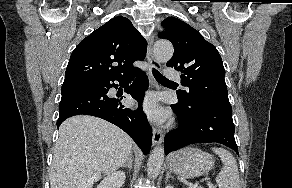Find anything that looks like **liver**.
I'll return each instance as SVG.
<instances>
[{"instance_id":"1","label":"liver","mask_w":292,"mask_h":188,"mask_svg":"<svg viewBox=\"0 0 292 188\" xmlns=\"http://www.w3.org/2000/svg\"><path fill=\"white\" fill-rule=\"evenodd\" d=\"M132 139L115 125L88 115L65 120L59 128L50 169L51 188H92L129 158Z\"/></svg>"}]
</instances>
